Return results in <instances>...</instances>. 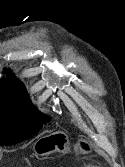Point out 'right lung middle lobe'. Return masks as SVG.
<instances>
[{
	"label": "right lung middle lobe",
	"instance_id": "1",
	"mask_svg": "<svg viewBox=\"0 0 125 167\" xmlns=\"http://www.w3.org/2000/svg\"><path fill=\"white\" fill-rule=\"evenodd\" d=\"M48 121L30 99L0 97L1 145H14L35 135Z\"/></svg>",
	"mask_w": 125,
	"mask_h": 167
}]
</instances>
